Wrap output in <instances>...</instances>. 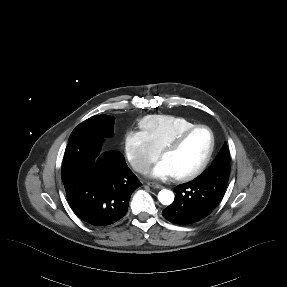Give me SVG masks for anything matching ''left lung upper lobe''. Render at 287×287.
<instances>
[{"label":"left lung upper lobe","mask_w":287,"mask_h":287,"mask_svg":"<svg viewBox=\"0 0 287 287\" xmlns=\"http://www.w3.org/2000/svg\"><path fill=\"white\" fill-rule=\"evenodd\" d=\"M220 169L221 172L225 171L229 175V150L227 144L225 143L216 159L214 160L212 166L206 170L202 175L196 178L198 181H210V178L213 177V171Z\"/></svg>","instance_id":"5c2ea615"}]
</instances>
